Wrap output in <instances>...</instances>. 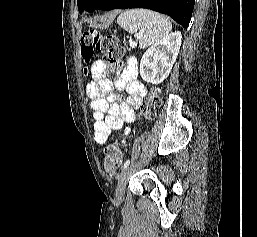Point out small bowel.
Returning <instances> with one entry per match:
<instances>
[{"instance_id":"obj_1","label":"small bowel","mask_w":257,"mask_h":237,"mask_svg":"<svg viewBox=\"0 0 257 237\" xmlns=\"http://www.w3.org/2000/svg\"><path fill=\"white\" fill-rule=\"evenodd\" d=\"M107 64L97 60L92 67L93 80L86 86V94L93 110L94 140L98 144L110 142L116 131L135 121L138 109L147 94V90L137 80L135 63L130 61L121 76L113 83L105 76ZM117 91H125L123 98ZM125 127V134H129Z\"/></svg>"}]
</instances>
